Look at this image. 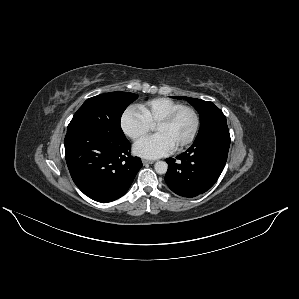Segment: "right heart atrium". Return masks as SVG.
Returning a JSON list of instances; mask_svg holds the SVG:
<instances>
[{
	"label": "right heart atrium",
	"instance_id": "d8ad5b80",
	"mask_svg": "<svg viewBox=\"0 0 299 299\" xmlns=\"http://www.w3.org/2000/svg\"><path fill=\"white\" fill-rule=\"evenodd\" d=\"M123 132L132 140L137 141L147 135L152 126L144 119L139 110L128 108L121 117Z\"/></svg>",
	"mask_w": 299,
	"mask_h": 299
}]
</instances>
